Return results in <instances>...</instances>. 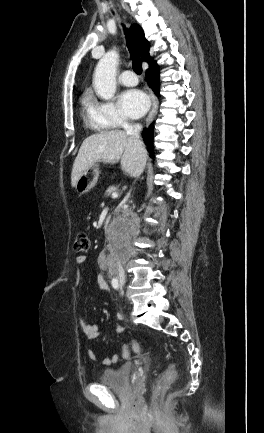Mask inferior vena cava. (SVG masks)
I'll return each mask as SVG.
<instances>
[{
  "mask_svg": "<svg viewBox=\"0 0 264 433\" xmlns=\"http://www.w3.org/2000/svg\"><path fill=\"white\" fill-rule=\"evenodd\" d=\"M123 127L126 131V133L132 137H134L137 141H139L142 150L144 149V144L143 142L140 140V132L142 130V125L140 123H136V124H129L127 122H124ZM117 267H118V276L120 279H124L125 278V271L124 268L122 267L120 261L117 262Z\"/></svg>",
  "mask_w": 264,
  "mask_h": 433,
  "instance_id": "602c4592",
  "label": "inferior vena cava"
}]
</instances>
